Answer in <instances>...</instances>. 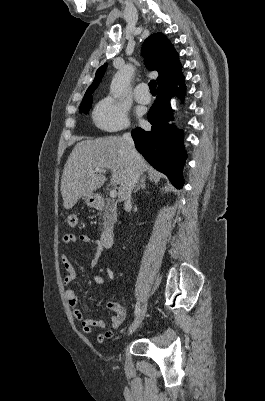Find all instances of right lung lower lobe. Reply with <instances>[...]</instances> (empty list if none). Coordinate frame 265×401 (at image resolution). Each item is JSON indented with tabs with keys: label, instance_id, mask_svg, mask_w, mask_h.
<instances>
[{
	"label": "right lung lower lobe",
	"instance_id": "1",
	"mask_svg": "<svg viewBox=\"0 0 265 401\" xmlns=\"http://www.w3.org/2000/svg\"><path fill=\"white\" fill-rule=\"evenodd\" d=\"M178 85L158 90L157 100L147 114L152 124L151 131L137 127L132 131V137L136 149L144 158L155 169L167 175L175 187L181 188L183 179L180 170L186 157L182 149V131L168 123L172 120L171 97L174 94L183 97L185 93L184 80Z\"/></svg>",
	"mask_w": 265,
	"mask_h": 401
}]
</instances>
